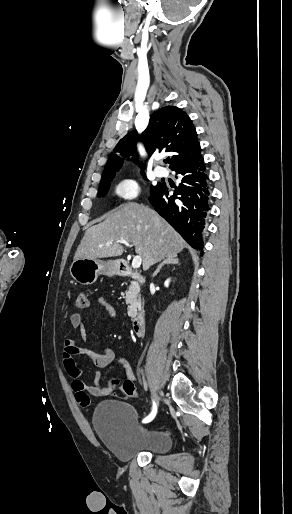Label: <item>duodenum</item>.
<instances>
[{
	"label": "duodenum",
	"mask_w": 292,
	"mask_h": 514,
	"mask_svg": "<svg viewBox=\"0 0 292 514\" xmlns=\"http://www.w3.org/2000/svg\"><path fill=\"white\" fill-rule=\"evenodd\" d=\"M122 275L134 279V281L139 285H143L145 283V278L137 270L133 269L131 266H126V268H124L122 270ZM144 322H145V315H144L143 311H141L138 315L133 317V319L131 321V325H132V330L135 334H138L143 330Z\"/></svg>",
	"instance_id": "obj_1"
}]
</instances>
